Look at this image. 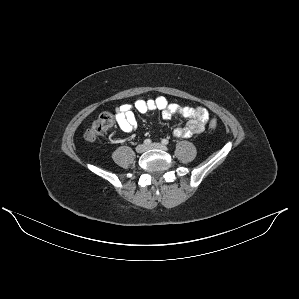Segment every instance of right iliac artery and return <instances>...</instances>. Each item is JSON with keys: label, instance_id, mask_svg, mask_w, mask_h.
<instances>
[{"label": "right iliac artery", "instance_id": "1", "mask_svg": "<svg viewBox=\"0 0 299 299\" xmlns=\"http://www.w3.org/2000/svg\"><path fill=\"white\" fill-rule=\"evenodd\" d=\"M144 144H145V145H149V144H151V140H150V139H145V140H144Z\"/></svg>", "mask_w": 299, "mask_h": 299}]
</instances>
